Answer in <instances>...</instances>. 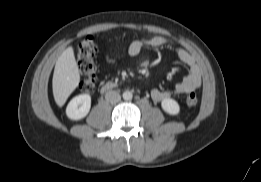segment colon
Returning a JSON list of instances; mask_svg holds the SVG:
<instances>
[{
	"instance_id": "1",
	"label": "colon",
	"mask_w": 261,
	"mask_h": 182,
	"mask_svg": "<svg viewBox=\"0 0 261 182\" xmlns=\"http://www.w3.org/2000/svg\"><path fill=\"white\" fill-rule=\"evenodd\" d=\"M97 51V46L92 36H87L78 45L76 51V62L84 74V78L80 82V88L91 93L96 87V64L94 56ZM198 102L197 96L194 93H190L187 96L186 103L188 106H195Z\"/></svg>"
}]
</instances>
